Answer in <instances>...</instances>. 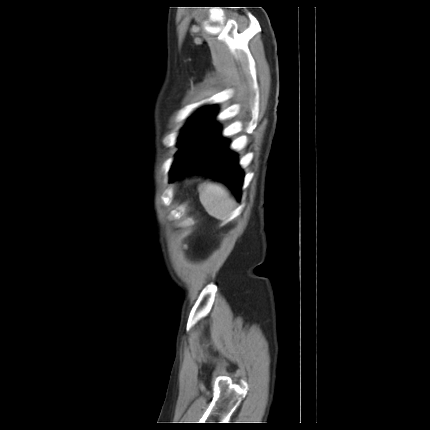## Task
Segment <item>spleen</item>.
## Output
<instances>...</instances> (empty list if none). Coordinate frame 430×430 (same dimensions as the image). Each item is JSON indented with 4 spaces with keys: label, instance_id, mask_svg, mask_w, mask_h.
Wrapping results in <instances>:
<instances>
[{
    "label": "spleen",
    "instance_id": "spleen-1",
    "mask_svg": "<svg viewBox=\"0 0 430 430\" xmlns=\"http://www.w3.org/2000/svg\"><path fill=\"white\" fill-rule=\"evenodd\" d=\"M199 198L211 216L222 219L233 211V198L221 185L207 184L199 188Z\"/></svg>",
    "mask_w": 430,
    "mask_h": 430
}]
</instances>
